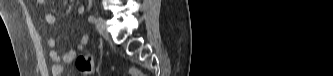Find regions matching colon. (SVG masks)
<instances>
[{"mask_svg":"<svg viewBox=\"0 0 333 76\" xmlns=\"http://www.w3.org/2000/svg\"><path fill=\"white\" fill-rule=\"evenodd\" d=\"M77 69L80 71L82 75H92L95 70V63L91 56L81 55L76 60ZM130 76H141V73L135 69L130 68L129 70Z\"/></svg>","mask_w":333,"mask_h":76,"instance_id":"5ec220e1","label":"colon"}]
</instances>
